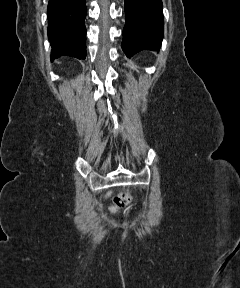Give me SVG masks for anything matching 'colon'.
Masks as SVG:
<instances>
[{
  "label": "colon",
  "instance_id": "5ec220e1",
  "mask_svg": "<svg viewBox=\"0 0 240 288\" xmlns=\"http://www.w3.org/2000/svg\"><path fill=\"white\" fill-rule=\"evenodd\" d=\"M132 199L130 193H120L114 198L112 208L117 210L126 207Z\"/></svg>",
  "mask_w": 240,
  "mask_h": 288
}]
</instances>
